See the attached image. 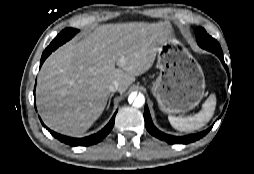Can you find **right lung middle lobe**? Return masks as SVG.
<instances>
[{
    "instance_id": "1",
    "label": "right lung middle lobe",
    "mask_w": 254,
    "mask_h": 174,
    "mask_svg": "<svg viewBox=\"0 0 254 174\" xmlns=\"http://www.w3.org/2000/svg\"><path fill=\"white\" fill-rule=\"evenodd\" d=\"M78 31L77 29L66 28L56 38L69 37L71 39Z\"/></svg>"
}]
</instances>
